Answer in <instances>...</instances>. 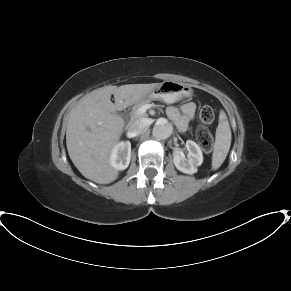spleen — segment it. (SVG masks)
<instances>
[{"label": "spleen", "instance_id": "spleen-1", "mask_svg": "<svg viewBox=\"0 0 291 291\" xmlns=\"http://www.w3.org/2000/svg\"><path fill=\"white\" fill-rule=\"evenodd\" d=\"M231 138V129L227 115L223 110H221L215 134V143L212 154V170H217L225 161L230 149Z\"/></svg>", "mask_w": 291, "mask_h": 291}]
</instances>
